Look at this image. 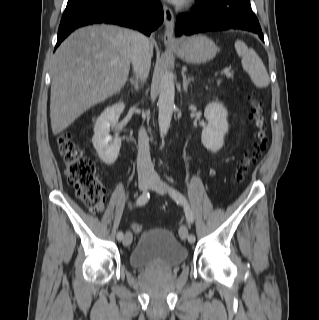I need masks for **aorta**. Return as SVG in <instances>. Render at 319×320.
Segmentation results:
<instances>
[{"mask_svg": "<svg viewBox=\"0 0 319 320\" xmlns=\"http://www.w3.org/2000/svg\"><path fill=\"white\" fill-rule=\"evenodd\" d=\"M175 86L173 74L169 71L163 73L158 99V123L161 135H165L170 127L174 110Z\"/></svg>", "mask_w": 319, "mask_h": 320, "instance_id": "1", "label": "aorta"}]
</instances>
